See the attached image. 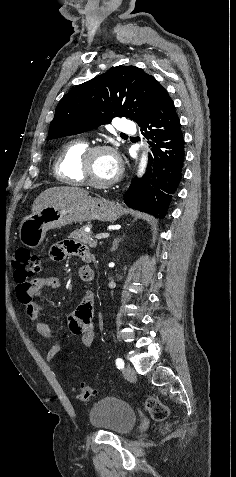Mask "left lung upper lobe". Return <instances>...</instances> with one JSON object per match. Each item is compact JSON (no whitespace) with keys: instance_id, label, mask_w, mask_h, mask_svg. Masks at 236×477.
<instances>
[{"instance_id":"5c2ea615","label":"left lung upper lobe","mask_w":236,"mask_h":477,"mask_svg":"<svg viewBox=\"0 0 236 477\" xmlns=\"http://www.w3.org/2000/svg\"><path fill=\"white\" fill-rule=\"evenodd\" d=\"M162 86L135 66H117L69 91L58 103L48 139L92 130L114 117L139 125L152 110Z\"/></svg>"}]
</instances>
